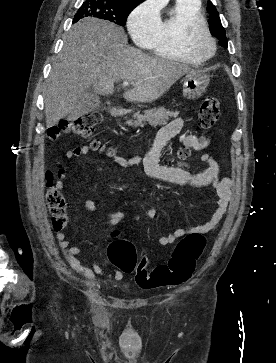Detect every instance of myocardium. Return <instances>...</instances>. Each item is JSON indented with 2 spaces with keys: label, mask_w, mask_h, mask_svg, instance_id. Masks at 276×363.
<instances>
[{
  "label": "myocardium",
  "mask_w": 276,
  "mask_h": 363,
  "mask_svg": "<svg viewBox=\"0 0 276 363\" xmlns=\"http://www.w3.org/2000/svg\"><path fill=\"white\" fill-rule=\"evenodd\" d=\"M202 31L211 43V51L208 54H202L198 52L191 43L192 38L195 36L196 33ZM183 48L185 52L194 60L203 63L211 59L215 52H216V40L212 35L211 31L209 30L206 23L192 21L189 22L183 30Z\"/></svg>",
  "instance_id": "obj_1"
}]
</instances>
